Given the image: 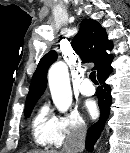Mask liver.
<instances>
[{
	"instance_id": "liver-1",
	"label": "liver",
	"mask_w": 130,
	"mask_h": 153,
	"mask_svg": "<svg viewBox=\"0 0 130 153\" xmlns=\"http://www.w3.org/2000/svg\"><path fill=\"white\" fill-rule=\"evenodd\" d=\"M35 153H38V152H35ZM39 153H44V152H39Z\"/></svg>"
}]
</instances>
